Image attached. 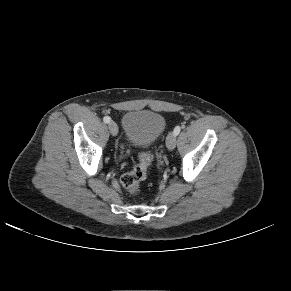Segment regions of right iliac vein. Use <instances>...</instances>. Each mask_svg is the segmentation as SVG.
I'll return each mask as SVG.
<instances>
[{"label": "right iliac vein", "mask_w": 291, "mask_h": 291, "mask_svg": "<svg viewBox=\"0 0 291 291\" xmlns=\"http://www.w3.org/2000/svg\"><path fill=\"white\" fill-rule=\"evenodd\" d=\"M108 128L113 136L118 134V126L114 121L109 122Z\"/></svg>", "instance_id": "right-iliac-vein-1"}]
</instances>
